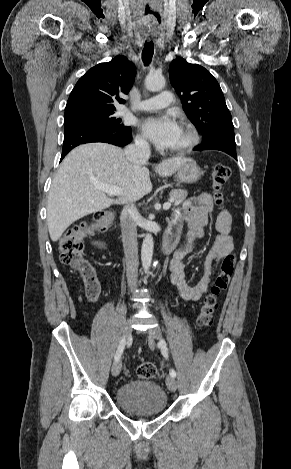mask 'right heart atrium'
I'll return each mask as SVG.
<instances>
[{
  "mask_svg": "<svg viewBox=\"0 0 291 469\" xmlns=\"http://www.w3.org/2000/svg\"><path fill=\"white\" fill-rule=\"evenodd\" d=\"M136 146L139 147L140 149H147L148 148V143L145 140L144 137L141 135H138L135 139Z\"/></svg>",
  "mask_w": 291,
  "mask_h": 469,
  "instance_id": "1",
  "label": "right heart atrium"
}]
</instances>
